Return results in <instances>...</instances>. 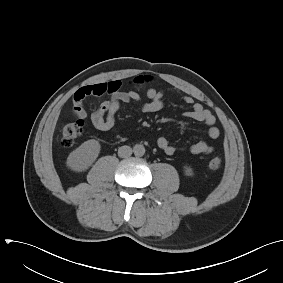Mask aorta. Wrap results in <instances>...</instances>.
<instances>
[{
	"label": "aorta",
	"mask_w": 283,
	"mask_h": 283,
	"mask_svg": "<svg viewBox=\"0 0 283 283\" xmlns=\"http://www.w3.org/2000/svg\"><path fill=\"white\" fill-rule=\"evenodd\" d=\"M133 152L136 156H143L145 154V147L141 144H136L133 147Z\"/></svg>",
	"instance_id": "1"
}]
</instances>
